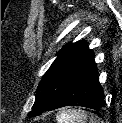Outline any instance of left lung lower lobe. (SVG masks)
<instances>
[{"mask_svg": "<svg viewBox=\"0 0 122 123\" xmlns=\"http://www.w3.org/2000/svg\"><path fill=\"white\" fill-rule=\"evenodd\" d=\"M104 104L103 88L99 83L93 59L71 80L63 94L47 111L65 106H83L99 110Z\"/></svg>", "mask_w": 122, "mask_h": 123, "instance_id": "left-lung-lower-lobe-1", "label": "left lung lower lobe"}]
</instances>
